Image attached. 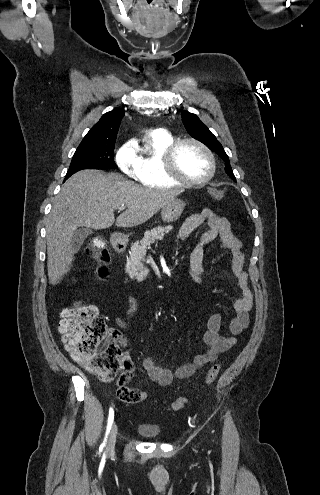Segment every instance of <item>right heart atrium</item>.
<instances>
[{
  "instance_id": "right-heart-atrium-1",
  "label": "right heart atrium",
  "mask_w": 320,
  "mask_h": 495,
  "mask_svg": "<svg viewBox=\"0 0 320 495\" xmlns=\"http://www.w3.org/2000/svg\"><path fill=\"white\" fill-rule=\"evenodd\" d=\"M116 162L122 172L135 180L140 178V160L132 141H126L116 153Z\"/></svg>"
}]
</instances>
